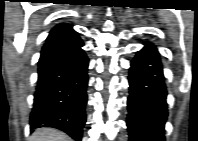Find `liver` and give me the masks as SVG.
I'll return each instance as SVG.
<instances>
[{
	"instance_id": "obj_1",
	"label": "liver",
	"mask_w": 198,
	"mask_h": 141,
	"mask_svg": "<svg viewBox=\"0 0 198 141\" xmlns=\"http://www.w3.org/2000/svg\"><path fill=\"white\" fill-rule=\"evenodd\" d=\"M30 141H71V138L56 129L40 128L34 131Z\"/></svg>"
}]
</instances>
